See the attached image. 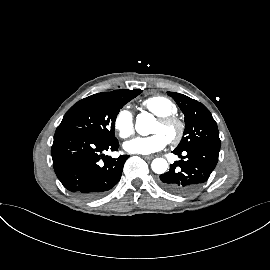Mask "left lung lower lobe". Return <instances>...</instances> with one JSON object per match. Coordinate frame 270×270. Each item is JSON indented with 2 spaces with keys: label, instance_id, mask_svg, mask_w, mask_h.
Masks as SVG:
<instances>
[{
  "label": "left lung lower lobe",
  "instance_id": "1",
  "mask_svg": "<svg viewBox=\"0 0 270 270\" xmlns=\"http://www.w3.org/2000/svg\"><path fill=\"white\" fill-rule=\"evenodd\" d=\"M173 153L181 160L170 165L167 173L160 175L159 185L170 193L187 195L208 180L218 162L219 149L195 146L175 149Z\"/></svg>",
  "mask_w": 270,
  "mask_h": 270
}]
</instances>
